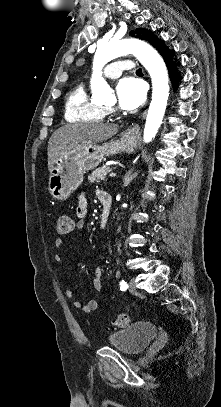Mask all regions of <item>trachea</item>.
I'll return each mask as SVG.
<instances>
[{
    "label": "trachea",
    "mask_w": 221,
    "mask_h": 407,
    "mask_svg": "<svg viewBox=\"0 0 221 407\" xmlns=\"http://www.w3.org/2000/svg\"><path fill=\"white\" fill-rule=\"evenodd\" d=\"M140 72H142V69H141V68H139V69L137 70V73H140Z\"/></svg>",
    "instance_id": "trachea-1"
}]
</instances>
